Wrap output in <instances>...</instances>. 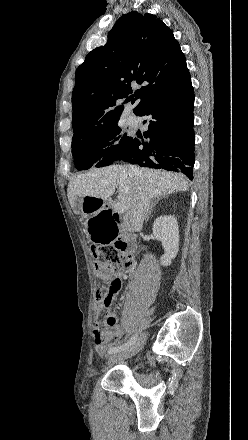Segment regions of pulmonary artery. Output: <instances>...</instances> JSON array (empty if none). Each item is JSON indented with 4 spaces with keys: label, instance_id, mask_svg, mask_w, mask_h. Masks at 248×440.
Segmentation results:
<instances>
[{
    "label": "pulmonary artery",
    "instance_id": "obj_1",
    "mask_svg": "<svg viewBox=\"0 0 248 440\" xmlns=\"http://www.w3.org/2000/svg\"><path fill=\"white\" fill-rule=\"evenodd\" d=\"M127 120L129 123H134L136 121V116L133 113H131L128 115Z\"/></svg>",
    "mask_w": 248,
    "mask_h": 440
}]
</instances>
